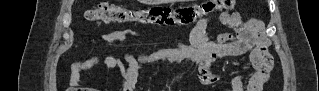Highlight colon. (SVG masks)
<instances>
[{
    "instance_id": "1",
    "label": "colon",
    "mask_w": 319,
    "mask_h": 91,
    "mask_svg": "<svg viewBox=\"0 0 319 91\" xmlns=\"http://www.w3.org/2000/svg\"><path fill=\"white\" fill-rule=\"evenodd\" d=\"M234 0H213L193 6L169 8L150 7L132 8L124 5L101 3L85 13V18L93 23L142 24L154 26L191 25L197 20L216 11L231 9ZM259 63L266 70H270L273 60L266 50L259 58Z\"/></svg>"
}]
</instances>
